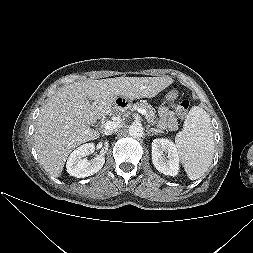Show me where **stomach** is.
Returning a JSON list of instances; mask_svg holds the SVG:
<instances>
[{"label": "stomach", "instance_id": "stomach-1", "mask_svg": "<svg viewBox=\"0 0 253 253\" xmlns=\"http://www.w3.org/2000/svg\"><path fill=\"white\" fill-rule=\"evenodd\" d=\"M169 97H166L168 100ZM113 109L120 114H128L132 110V99L128 95H123L121 97L116 98Z\"/></svg>", "mask_w": 253, "mask_h": 253}]
</instances>
